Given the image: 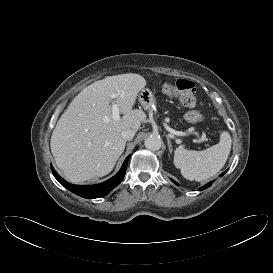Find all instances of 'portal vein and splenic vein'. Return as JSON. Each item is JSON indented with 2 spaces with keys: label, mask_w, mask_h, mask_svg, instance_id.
Wrapping results in <instances>:
<instances>
[{
  "label": "portal vein and splenic vein",
  "mask_w": 273,
  "mask_h": 273,
  "mask_svg": "<svg viewBox=\"0 0 273 273\" xmlns=\"http://www.w3.org/2000/svg\"><path fill=\"white\" fill-rule=\"evenodd\" d=\"M117 95H119V94L113 95L112 97H116ZM112 117L114 120L120 119V111H119V107L116 103H112ZM165 128L167 131H169L170 133H172L174 135H183V133L175 131L166 125H165Z\"/></svg>",
  "instance_id": "1"
}]
</instances>
